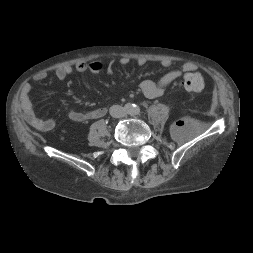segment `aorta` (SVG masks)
<instances>
[{"mask_svg": "<svg viewBox=\"0 0 253 253\" xmlns=\"http://www.w3.org/2000/svg\"><path fill=\"white\" fill-rule=\"evenodd\" d=\"M132 106V109L131 110H127V113L128 114H132V115H136L140 112V109L138 106H134V105H131Z\"/></svg>", "mask_w": 253, "mask_h": 253, "instance_id": "1", "label": "aorta"}]
</instances>
